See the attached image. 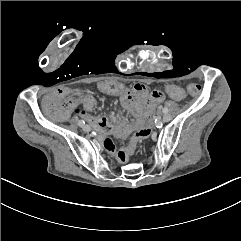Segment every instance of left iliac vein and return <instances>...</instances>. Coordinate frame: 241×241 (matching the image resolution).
I'll return each mask as SVG.
<instances>
[{"label": "left iliac vein", "mask_w": 241, "mask_h": 241, "mask_svg": "<svg viewBox=\"0 0 241 241\" xmlns=\"http://www.w3.org/2000/svg\"><path fill=\"white\" fill-rule=\"evenodd\" d=\"M171 120V115L170 114H165L162 118L163 122H169Z\"/></svg>", "instance_id": "4c4485c4"}]
</instances>
